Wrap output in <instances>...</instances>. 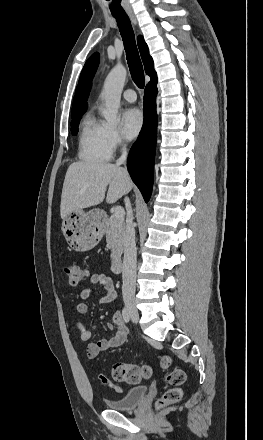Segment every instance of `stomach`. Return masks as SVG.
Masks as SVG:
<instances>
[{"mask_svg": "<svg viewBox=\"0 0 263 440\" xmlns=\"http://www.w3.org/2000/svg\"><path fill=\"white\" fill-rule=\"evenodd\" d=\"M106 230L99 210L70 212L62 222V231L69 246L78 252L89 251L102 239Z\"/></svg>", "mask_w": 263, "mask_h": 440, "instance_id": "1", "label": "stomach"}]
</instances>
